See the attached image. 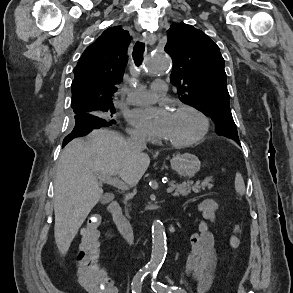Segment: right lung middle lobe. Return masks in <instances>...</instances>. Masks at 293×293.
Masks as SVG:
<instances>
[{
  "label": "right lung middle lobe",
  "mask_w": 293,
  "mask_h": 293,
  "mask_svg": "<svg viewBox=\"0 0 293 293\" xmlns=\"http://www.w3.org/2000/svg\"><path fill=\"white\" fill-rule=\"evenodd\" d=\"M92 110L96 112V116L110 120L116 112L113 102H106L101 104H95L92 106Z\"/></svg>",
  "instance_id": "1"
}]
</instances>
